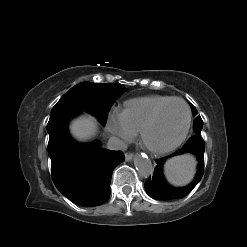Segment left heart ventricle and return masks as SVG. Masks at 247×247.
I'll return each instance as SVG.
<instances>
[{
    "instance_id": "b2bd125f",
    "label": "left heart ventricle",
    "mask_w": 247,
    "mask_h": 247,
    "mask_svg": "<svg viewBox=\"0 0 247 247\" xmlns=\"http://www.w3.org/2000/svg\"><path fill=\"white\" fill-rule=\"evenodd\" d=\"M187 119L186 108L181 102H172L160 113L146 135L153 146H166L176 141L182 134Z\"/></svg>"
}]
</instances>
